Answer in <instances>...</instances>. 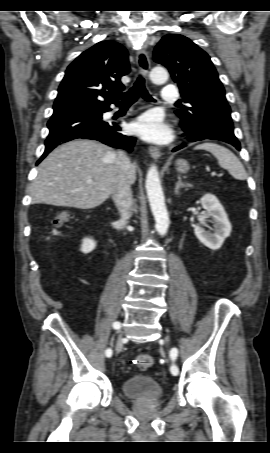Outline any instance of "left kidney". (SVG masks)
Returning <instances> with one entry per match:
<instances>
[{"mask_svg": "<svg viewBox=\"0 0 270 453\" xmlns=\"http://www.w3.org/2000/svg\"><path fill=\"white\" fill-rule=\"evenodd\" d=\"M200 203L212 217L213 233L205 230V223L198 224L194 228L195 236L198 240L211 250H218L223 245L225 239L230 236L232 226L229 222L227 213L219 200L212 194H206L200 199Z\"/></svg>", "mask_w": 270, "mask_h": 453, "instance_id": "1", "label": "left kidney"}]
</instances>
